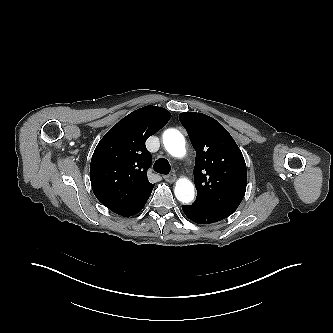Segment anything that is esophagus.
<instances>
[{"instance_id":"1","label":"esophagus","mask_w":333,"mask_h":333,"mask_svg":"<svg viewBox=\"0 0 333 333\" xmlns=\"http://www.w3.org/2000/svg\"><path fill=\"white\" fill-rule=\"evenodd\" d=\"M167 182H169V183H173V182H175L176 181V179H177V177H176V175L175 174H169V175H165L164 177H163Z\"/></svg>"}]
</instances>
